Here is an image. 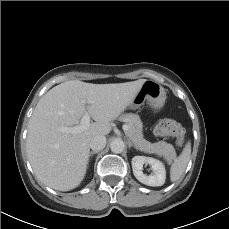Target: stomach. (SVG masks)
I'll return each mask as SVG.
<instances>
[{
  "mask_svg": "<svg viewBox=\"0 0 229 229\" xmlns=\"http://www.w3.org/2000/svg\"><path fill=\"white\" fill-rule=\"evenodd\" d=\"M165 100V89L159 83L147 80L140 88L130 107L137 109L146 102L154 111H158L164 106Z\"/></svg>",
  "mask_w": 229,
  "mask_h": 229,
  "instance_id": "stomach-1",
  "label": "stomach"
}]
</instances>
